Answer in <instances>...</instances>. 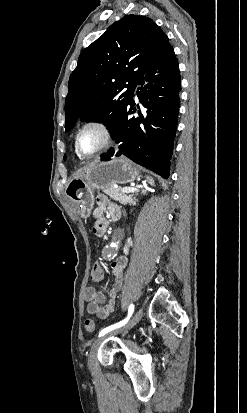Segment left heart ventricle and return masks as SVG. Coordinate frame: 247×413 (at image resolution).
Returning a JSON list of instances; mask_svg holds the SVG:
<instances>
[{
    "label": "left heart ventricle",
    "instance_id": "1",
    "mask_svg": "<svg viewBox=\"0 0 247 413\" xmlns=\"http://www.w3.org/2000/svg\"><path fill=\"white\" fill-rule=\"evenodd\" d=\"M104 140V133L100 129L90 128L80 135V147L83 152L91 153L96 150Z\"/></svg>",
    "mask_w": 247,
    "mask_h": 413
}]
</instances>
